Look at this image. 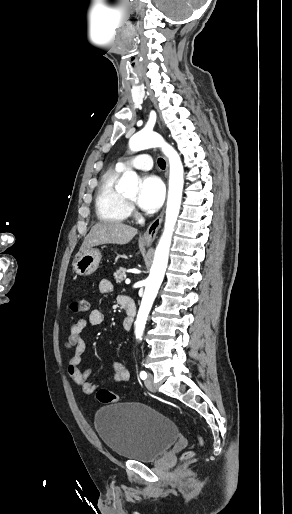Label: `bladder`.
<instances>
[{
    "mask_svg": "<svg viewBox=\"0 0 292 514\" xmlns=\"http://www.w3.org/2000/svg\"><path fill=\"white\" fill-rule=\"evenodd\" d=\"M94 426L113 454L138 462L154 461L178 437V428L170 418L135 402L100 408L95 413Z\"/></svg>",
    "mask_w": 292,
    "mask_h": 514,
    "instance_id": "bladder-1",
    "label": "bladder"
}]
</instances>
